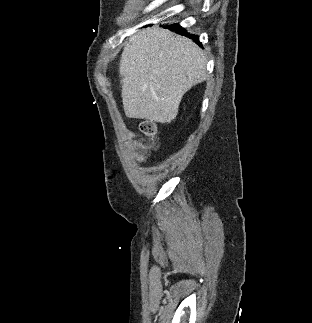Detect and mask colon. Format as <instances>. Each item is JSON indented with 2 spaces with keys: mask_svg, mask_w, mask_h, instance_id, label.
Here are the masks:
<instances>
[{
  "mask_svg": "<svg viewBox=\"0 0 312 323\" xmlns=\"http://www.w3.org/2000/svg\"><path fill=\"white\" fill-rule=\"evenodd\" d=\"M155 135V126L152 122L146 121L140 125V132L135 135V140L138 142L139 147L145 145L141 142L142 137H153ZM152 143L149 144V148L152 147Z\"/></svg>",
  "mask_w": 312,
  "mask_h": 323,
  "instance_id": "colon-1",
  "label": "colon"
}]
</instances>
